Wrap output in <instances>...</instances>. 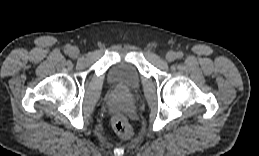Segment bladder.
<instances>
[{"instance_id":"1","label":"bladder","mask_w":259,"mask_h":156,"mask_svg":"<svg viewBox=\"0 0 259 156\" xmlns=\"http://www.w3.org/2000/svg\"><path fill=\"white\" fill-rule=\"evenodd\" d=\"M108 81L118 89L134 93L140 89L141 75L132 63L120 62L110 69Z\"/></svg>"}]
</instances>
